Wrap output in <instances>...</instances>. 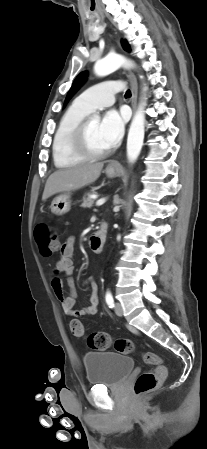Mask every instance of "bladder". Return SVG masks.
<instances>
[{"instance_id":"bladder-1","label":"bladder","mask_w":207,"mask_h":449,"mask_svg":"<svg viewBox=\"0 0 207 449\" xmlns=\"http://www.w3.org/2000/svg\"><path fill=\"white\" fill-rule=\"evenodd\" d=\"M83 363L90 386H118L135 368L133 358L109 351L87 352Z\"/></svg>"}]
</instances>
